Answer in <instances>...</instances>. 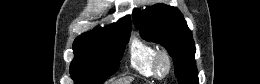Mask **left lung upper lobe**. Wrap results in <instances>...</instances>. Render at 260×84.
I'll list each match as a JSON object with an SVG mask.
<instances>
[{
    "label": "left lung upper lobe",
    "mask_w": 260,
    "mask_h": 84,
    "mask_svg": "<svg viewBox=\"0 0 260 84\" xmlns=\"http://www.w3.org/2000/svg\"><path fill=\"white\" fill-rule=\"evenodd\" d=\"M133 18L143 39L160 43L173 57L179 84H198L195 44L180 11L175 7L157 4L139 14L134 11Z\"/></svg>",
    "instance_id": "5c2ea615"
}]
</instances>
